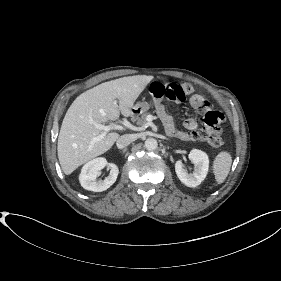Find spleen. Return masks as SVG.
Segmentation results:
<instances>
[{
    "instance_id": "3e777b00",
    "label": "spleen",
    "mask_w": 281,
    "mask_h": 281,
    "mask_svg": "<svg viewBox=\"0 0 281 281\" xmlns=\"http://www.w3.org/2000/svg\"><path fill=\"white\" fill-rule=\"evenodd\" d=\"M232 157L229 152L222 151L214 159L213 173L218 184L222 183L229 174Z\"/></svg>"
}]
</instances>
